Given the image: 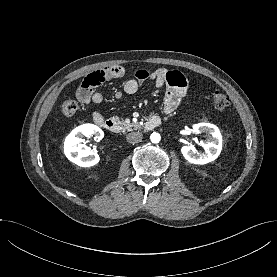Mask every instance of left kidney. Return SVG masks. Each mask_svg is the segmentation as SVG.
<instances>
[{"mask_svg": "<svg viewBox=\"0 0 277 277\" xmlns=\"http://www.w3.org/2000/svg\"><path fill=\"white\" fill-rule=\"evenodd\" d=\"M193 131L206 134L207 141L201 142L204 152L199 153L191 146H183L181 152L184 158L190 163L200 165L214 161L222 149V136L218 127L210 123H198L193 126Z\"/></svg>", "mask_w": 277, "mask_h": 277, "instance_id": "obj_1", "label": "left kidney"}]
</instances>
